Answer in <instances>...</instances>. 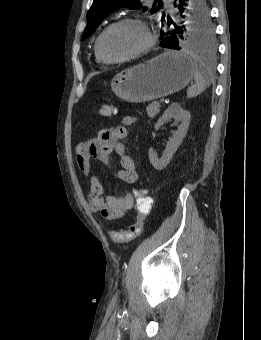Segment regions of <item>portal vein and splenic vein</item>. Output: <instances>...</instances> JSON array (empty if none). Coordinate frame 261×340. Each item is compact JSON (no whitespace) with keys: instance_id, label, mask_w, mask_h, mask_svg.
Returning a JSON list of instances; mask_svg holds the SVG:
<instances>
[{"instance_id":"portal-vein-and-splenic-vein-1","label":"portal vein and splenic vein","mask_w":261,"mask_h":340,"mask_svg":"<svg viewBox=\"0 0 261 340\" xmlns=\"http://www.w3.org/2000/svg\"><path fill=\"white\" fill-rule=\"evenodd\" d=\"M159 102L164 103V98H161Z\"/></svg>"}]
</instances>
